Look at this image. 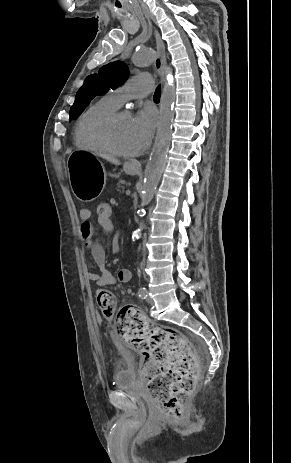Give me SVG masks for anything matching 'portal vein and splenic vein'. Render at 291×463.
Listing matches in <instances>:
<instances>
[{
  "mask_svg": "<svg viewBox=\"0 0 291 463\" xmlns=\"http://www.w3.org/2000/svg\"><path fill=\"white\" fill-rule=\"evenodd\" d=\"M126 195H130L131 191L129 189L126 190Z\"/></svg>",
  "mask_w": 291,
  "mask_h": 463,
  "instance_id": "portal-vein-and-splenic-vein-1",
  "label": "portal vein and splenic vein"
}]
</instances>
